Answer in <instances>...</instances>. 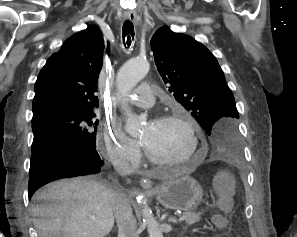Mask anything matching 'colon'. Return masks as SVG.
Listing matches in <instances>:
<instances>
[{
  "label": "colon",
  "mask_w": 297,
  "mask_h": 237,
  "mask_svg": "<svg viewBox=\"0 0 297 237\" xmlns=\"http://www.w3.org/2000/svg\"><path fill=\"white\" fill-rule=\"evenodd\" d=\"M215 182L219 206L222 211H228L231 205L232 181L225 174H221ZM213 221L218 228H224L227 225L226 217L223 214H216Z\"/></svg>",
  "instance_id": "5ec220e1"
}]
</instances>
